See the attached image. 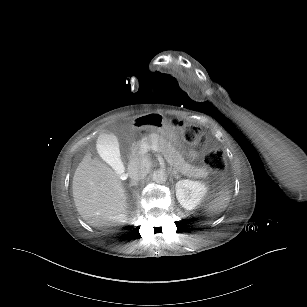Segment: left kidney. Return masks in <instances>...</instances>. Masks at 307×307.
Here are the masks:
<instances>
[{
  "mask_svg": "<svg viewBox=\"0 0 307 307\" xmlns=\"http://www.w3.org/2000/svg\"><path fill=\"white\" fill-rule=\"evenodd\" d=\"M176 198L186 210L194 209L207 192L205 185L198 181L180 180L175 185Z\"/></svg>",
  "mask_w": 307,
  "mask_h": 307,
  "instance_id": "5707ae66",
  "label": "left kidney"
}]
</instances>
